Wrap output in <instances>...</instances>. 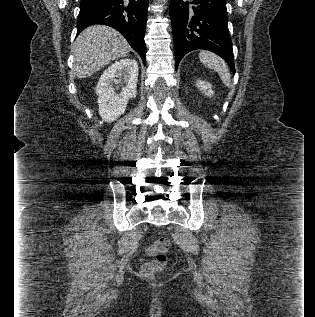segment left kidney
Instances as JSON below:
<instances>
[{
  "label": "left kidney",
  "mask_w": 315,
  "mask_h": 317,
  "mask_svg": "<svg viewBox=\"0 0 315 317\" xmlns=\"http://www.w3.org/2000/svg\"><path fill=\"white\" fill-rule=\"evenodd\" d=\"M196 86L206 96H210L211 97L214 94V92L212 91V85L209 82H207V81H203V80L199 79L196 82Z\"/></svg>",
  "instance_id": "5707ae66"
}]
</instances>
